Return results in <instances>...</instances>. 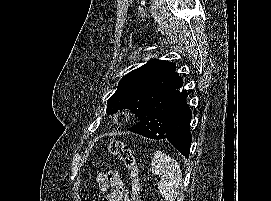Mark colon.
I'll use <instances>...</instances> for the list:
<instances>
[{
	"instance_id": "1",
	"label": "colon",
	"mask_w": 271,
	"mask_h": 201,
	"mask_svg": "<svg viewBox=\"0 0 271 201\" xmlns=\"http://www.w3.org/2000/svg\"><path fill=\"white\" fill-rule=\"evenodd\" d=\"M108 152L110 155L118 157L123 162L131 177L133 195L135 196L139 189V171L131 147L125 142L112 141L108 146Z\"/></svg>"
}]
</instances>
